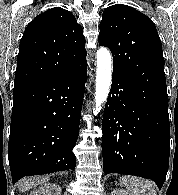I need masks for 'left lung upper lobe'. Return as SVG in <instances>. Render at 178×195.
Returning <instances> with one entry per match:
<instances>
[{
    "instance_id": "left-lung-upper-lobe-1",
    "label": "left lung upper lobe",
    "mask_w": 178,
    "mask_h": 195,
    "mask_svg": "<svg viewBox=\"0 0 178 195\" xmlns=\"http://www.w3.org/2000/svg\"><path fill=\"white\" fill-rule=\"evenodd\" d=\"M98 41L112 52L114 74L167 95L162 44L149 17L127 5H112L103 13Z\"/></svg>"
}]
</instances>
